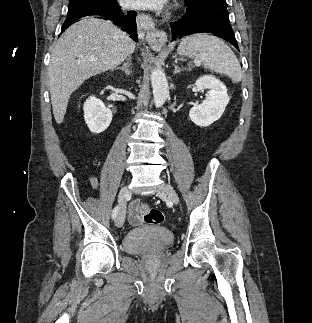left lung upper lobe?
<instances>
[{"label":"left lung upper lobe","instance_id":"5c2ea615","mask_svg":"<svg viewBox=\"0 0 312 323\" xmlns=\"http://www.w3.org/2000/svg\"><path fill=\"white\" fill-rule=\"evenodd\" d=\"M187 6L186 13L193 14L195 10L199 8V6L205 2H210L212 0H184Z\"/></svg>","mask_w":312,"mask_h":323}]
</instances>
